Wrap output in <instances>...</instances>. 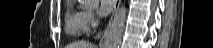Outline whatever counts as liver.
<instances>
[{
    "instance_id": "liver-1",
    "label": "liver",
    "mask_w": 213,
    "mask_h": 48,
    "mask_svg": "<svg viewBox=\"0 0 213 48\" xmlns=\"http://www.w3.org/2000/svg\"><path fill=\"white\" fill-rule=\"evenodd\" d=\"M66 48H94L93 45L86 41H79L77 43H74L72 45H69Z\"/></svg>"
}]
</instances>
